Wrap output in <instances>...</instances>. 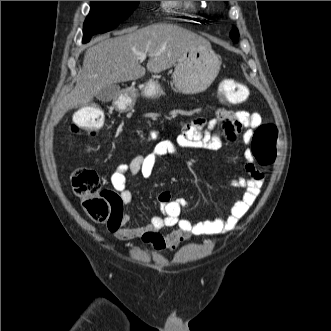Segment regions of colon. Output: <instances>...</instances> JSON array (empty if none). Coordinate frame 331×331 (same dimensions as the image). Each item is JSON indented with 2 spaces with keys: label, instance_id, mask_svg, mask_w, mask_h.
Returning <instances> with one entry per match:
<instances>
[{
  "label": "colon",
  "instance_id": "1",
  "mask_svg": "<svg viewBox=\"0 0 331 331\" xmlns=\"http://www.w3.org/2000/svg\"><path fill=\"white\" fill-rule=\"evenodd\" d=\"M225 103L240 104L249 95L247 87L232 79H224L219 88ZM103 110L95 104L81 108L75 115L71 130L74 134H95L104 125ZM279 131L274 123H262L254 131L251 151L256 161L267 166L273 163L276 155ZM74 193L81 199V204L88 216L97 222L110 221L115 210L122 202L117 193L102 189L98 174L86 167L78 168L71 178Z\"/></svg>",
  "mask_w": 331,
  "mask_h": 331
}]
</instances>
